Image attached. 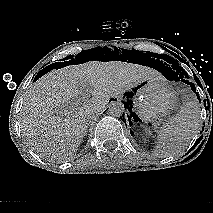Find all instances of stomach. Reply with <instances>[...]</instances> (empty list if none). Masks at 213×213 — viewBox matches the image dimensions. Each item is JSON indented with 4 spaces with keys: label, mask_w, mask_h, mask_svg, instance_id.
Masks as SVG:
<instances>
[{
    "label": "stomach",
    "mask_w": 213,
    "mask_h": 213,
    "mask_svg": "<svg viewBox=\"0 0 213 213\" xmlns=\"http://www.w3.org/2000/svg\"><path fill=\"white\" fill-rule=\"evenodd\" d=\"M135 111L140 120L157 123L179 107L175 89L163 77L147 79L132 88Z\"/></svg>",
    "instance_id": "1"
}]
</instances>
